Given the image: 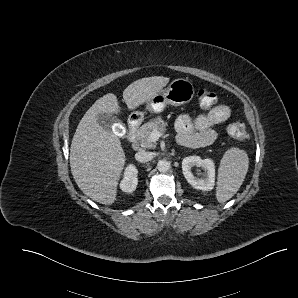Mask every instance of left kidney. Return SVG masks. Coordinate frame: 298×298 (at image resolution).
<instances>
[{
  "label": "left kidney",
  "instance_id": "left-kidney-1",
  "mask_svg": "<svg viewBox=\"0 0 298 298\" xmlns=\"http://www.w3.org/2000/svg\"><path fill=\"white\" fill-rule=\"evenodd\" d=\"M201 167L204 173L196 177L192 173V167ZM182 173L187 182L195 189L211 191L215 186V163L212 159H202L200 156H187L182 160Z\"/></svg>",
  "mask_w": 298,
  "mask_h": 298
}]
</instances>
